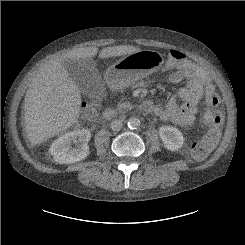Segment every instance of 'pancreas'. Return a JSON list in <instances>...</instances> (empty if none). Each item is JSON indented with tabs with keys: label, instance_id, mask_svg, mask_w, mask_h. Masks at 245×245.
Listing matches in <instances>:
<instances>
[{
	"label": "pancreas",
	"instance_id": "obj_1",
	"mask_svg": "<svg viewBox=\"0 0 245 245\" xmlns=\"http://www.w3.org/2000/svg\"><path fill=\"white\" fill-rule=\"evenodd\" d=\"M131 105H130V103H121V104H119V107H121V108H127V107H130Z\"/></svg>",
	"mask_w": 245,
	"mask_h": 245
}]
</instances>
